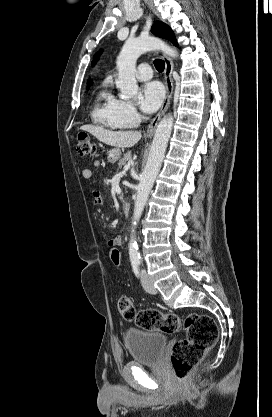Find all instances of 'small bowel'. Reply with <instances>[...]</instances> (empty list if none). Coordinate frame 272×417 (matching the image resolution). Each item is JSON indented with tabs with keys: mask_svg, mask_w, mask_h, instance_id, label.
<instances>
[{
	"mask_svg": "<svg viewBox=\"0 0 272 417\" xmlns=\"http://www.w3.org/2000/svg\"><path fill=\"white\" fill-rule=\"evenodd\" d=\"M101 166V162L99 161V160H95L94 162H93V164H92V168H84L83 170H82V177L84 178V179H87V180H89V179H91L92 177H93V174H94V169H96V168H98V167H100ZM93 195H94V203H95V205L96 206H100L101 204H102V198H101V195H100V193L98 192V191H94L93 192ZM119 244V245H121V243H122V237L121 236H115L114 238H112L109 242H108V245L109 244Z\"/></svg>",
	"mask_w": 272,
	"mask_h": 417,
	"instance_id": "c3829d8e",
	"label": "small bowel"
}]
</instances>
